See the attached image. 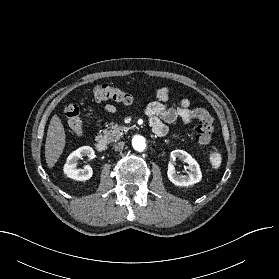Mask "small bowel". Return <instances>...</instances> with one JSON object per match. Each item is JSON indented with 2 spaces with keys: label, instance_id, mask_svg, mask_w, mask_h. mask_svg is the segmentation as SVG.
I'll list each match as a JSON object with an SVG mask.
<instances>
[{
  "label": "small bowel",
  "instance_id": "small-bowel-1",
  "mask_svg": "<svg viewBox=\"0 0 279 279\" xmlns=\"http://www.w3.org/2000/svg\"><path fill=\"white\" fill-rule=\"evenodd\" d=\"M170 93L171 90L168 87L159 88L156 93V100L149 103L146 108L150 126L153 132L160 137L169 133L168 124L180 120L188 126L193 118L190 110L191 101L188 98L182 99L179 106L170 107L167 105ZM104 111L108 114H114L116 108L113 105H106ZM171 136L177 138L178 134L173 133Z\"/></svg>",
  "mask_w": 279,
  "mask_h": 279
}]
</instances>
